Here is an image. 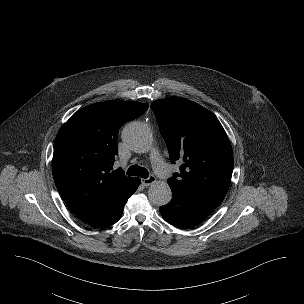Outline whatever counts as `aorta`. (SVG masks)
I'll return each mask as SVG.
<instances>
[{
    "mask_svg": "<svg viewBox=\"0 0 304 304\" xmlns=\"http://www.w3.org/2000/svg\"><path fill=\"white\" fill-rule=\"evenodd\" d=\"M122 138L128 148L139 153L148 151L153 141L150 128L140 122L126 125L122 131ZM148 198L154 205L164 206L172 199L171 188L166 182L157 181L149 187Z\"/></svg>",
    "mask_w": 304,
    "mask_h": 304,
    "instance_id": "obj_1",
    "label": "aorta"
}]
</instances>
